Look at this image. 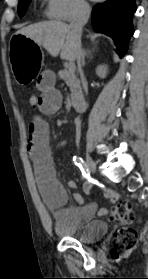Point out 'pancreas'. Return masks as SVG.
Segmentation results:
<instances>
[{
  "instance_id": "pancreas-1",
  "label": "pancreas",
  "mask_w": 148,
  "mask_h": 279,
  "mask_svg": "<svg viewBox=\"0 0 148 279\" xmlns=\"http://www.w3.org/2000/svg\"><path fill=\"white\" fill-rule=\"evenodd\" d=\"M58 75L70 88L72 103H76L82 97V90L80 81L77 78L75 72H70L69 69H64L59 71Z\"/></svg>"
}]
</instances>
